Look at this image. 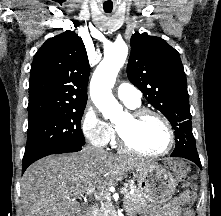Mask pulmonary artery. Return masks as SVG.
I'll return each instance as SVG.
<instances>
[{
    "instance_id": "1",
    "label": "pulmonary artery",
    "mask_w": 221,
    "mask_h": 216,
    "mask_svg": "<svg viewBox=\"0 0 221 216\" xmlns=\"http://www.w3.org/2000/svg\"><path fill=\"white\" fill-rule=\"evenodd\" d=\"M116 93L118 98L126 105H138L141 102V92L130 83L119 84Z\"/></svg>"
}]
</instances>
